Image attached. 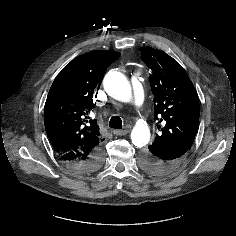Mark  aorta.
<instances>
[{"label": "aorta", "instance_id": "obj_1", "mask_svg": "<svg viewBox=\"0 0 236 236\" xmlns=\"http://www.w3.org/2000/svg\"><path fill=\"white\" fill-rule=\"evenodd\" d=\"M104 89L108 95L116 100L127 102L130 100L131 86L124 74L118 71H110L103 81ZM131 140L136 147H143L150 141V130L146 123L137 122L131 132Z\"/></svg>", "mask_w": 236, "mask_h": 236}]
</instances>
